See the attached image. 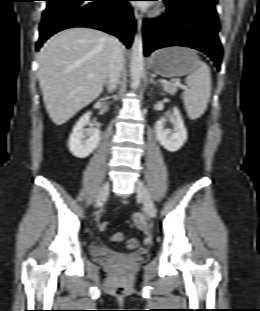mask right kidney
Masks as SVG:
<instances>
[{
  "label": "right kidney",
  "mask_w": 260,
  "mask_h": 311,
  "mask_svg": "<svg viewBox=\"0 0 260 311\" xmlns=\"http://www.w3.org/2000/svg\"><path fill=\"white\" fill-rule=\"evenodd\" d=\"M90 116L91 112L85 113L76 123L69 137V150L77 158L89 156L100 142L101 133L98 128L84 129L90 123ZM86 136L89 138L85 139Z\"/></svg>",
  "instance_id": "obj_1"
}]
</instances>
